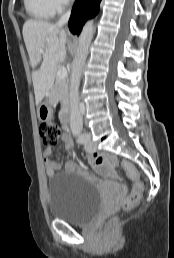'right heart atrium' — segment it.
Returning <instances> with one entry per match:
<instances>
[{
	"label": "right heart atrium",
	"mask_w": 174,
	"mask_h": 258,
	"mask_svg": "<svg viewBox=\"0 0 174 258\" xmlns=\"http://www.w3.org/2000/svg\"><path fill=\"white\" fill-rule=\"evenodd\" d=\"M55 11L64 9L71 0H49Z\"/></svg>",
	"instance_id": "right-heart-atrium-1"
}]
</instances>
